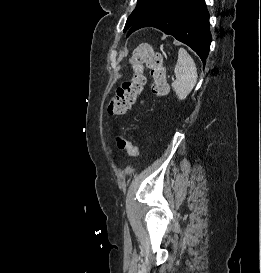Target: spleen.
<instances>
[{
  "mask_svg": "<svg viewBox=\"0 0 261 273\" xmlns=\"http://www.w3.org/2000/svg\"><path fill=\"white\" fill-rule=\"evenodd\" d=\"M174 73L176 80L172 82V88L177 98L184 100L193 90L198 78L195 62L184 48L178 51Z\"/></svg>",
  "mask_w": 261,
  "mask_h": 273,
  "instance_id": "obj_1",
  "label": "spleen"
}]
</instances>
